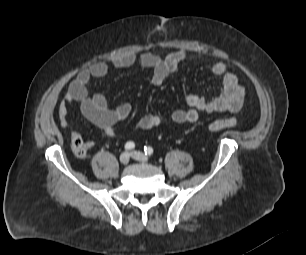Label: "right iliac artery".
<instances>
[{
	"instance_id": "1",
	"label": "right iliac artery",
	"mask_w": 306,
	"mask_h": 255,
	"mask_svg": "<svg viewBox=\"0 0 306 255\" xmlns=\"http://www.w3.org/2000/svg\"><path fill=\"white\" fill-rule=\"evenodd\" d=\"M134 147H135V144H134V142H132V141H129V142H127V143L125 144V149L128 150V151L133 150Z\"/></svg>"
}]
</instances>
